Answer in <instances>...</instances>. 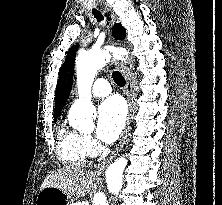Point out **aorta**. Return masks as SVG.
Segmentation results:
<instances>
[{
  "label": "aorta",
  "instance_id": "762f6f07",
  "mask_svg": "<svg viewBox=\"0 0 222 205\" xmlns=\"http://www.w3.org/2000/svg\"><path fill=\"white\" fill-rule=\"evenodd\" d=\"M110 58L106 50L83 51L78 55L76 73L79 98L70 108L68 118L71 126L82 132L92 131L95 127L93 117L96 110L91 102V87L97 72ZM128 166L129 161L123 156L108 167L103 184L95 193L93 205H109L117 199L125 186Z\"/></svg>",
  "mask_w": 222,
  "mask_h": 205
}]
</instances>
